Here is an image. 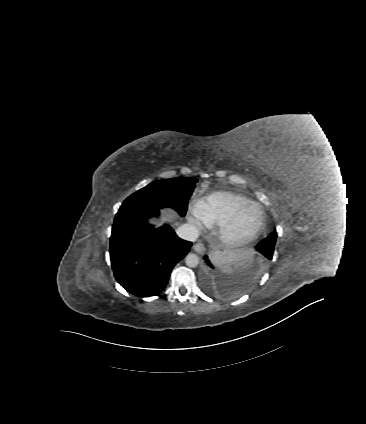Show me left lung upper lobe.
Masks as SVG:
<instances>
[{
	"instance_id": "5c2ea615",
	"label": "left lung upper lobe",
	"mask_w": 366,
	"mask_h": 424,
	"mask_svg": "<svg viewBox=\"0 0 366 424\" xmlns=\"http://www.w3.org/2000/svg\"><path fill=\"white\" fill-rule=\"evenodd\" d=\"M276 240H277V232L274 231L266 239L262 240L257 246V250L261 254H263L268 260L272 259ZM260 259L264 260L262 256H260ZM257 264L258 263L256 262L255 265L258 266Z\"/></svg>"
}]
</instances>
